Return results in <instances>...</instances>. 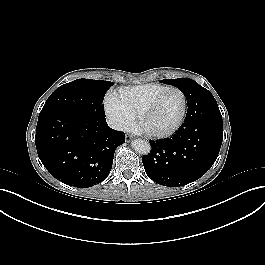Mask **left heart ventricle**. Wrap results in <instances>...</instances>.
Instances as JSON below:
<instances>
[{"label":"left heart ventricle","mask_w":265,"mask_h":265,"mask_svg":"<svg viewBox=\"0 0 265 265\" xmlns=\"http://www.w3.org/2000/svg\"><path fill=\"white\" fill-rule=\"evenodd\" d=\"M182 111V97L177 91L163 95L145 120V126L152 131H165L178 120Z\"/></svg>","instance_id":"obj_1"}]
</instances>
